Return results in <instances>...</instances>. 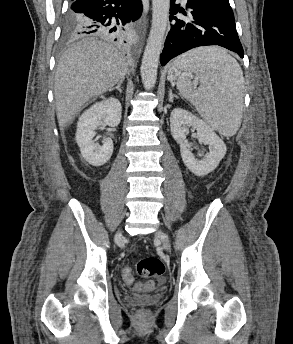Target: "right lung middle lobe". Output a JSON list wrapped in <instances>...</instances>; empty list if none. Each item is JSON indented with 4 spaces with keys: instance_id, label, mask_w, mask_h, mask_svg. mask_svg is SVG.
I'll return each mask as SVG.
<instances>
[{
    "instance_id": "1",
    "label": "right lung middle lobe",
    "mask_w": 293,
    "mask_h": 344,
    "mask_svg": "<svg viewBox=\"0 0 293 344\" xmlns=\"http://www.w3.org/2000/svg\"><path fill=\"white\" fill-rule=\"evenodd\" d=\"M85 21L86 19L82 15L69 11L66 16L62 39L68 41L81 36L80 29Z\"/></svg>"
}]
</instances>
